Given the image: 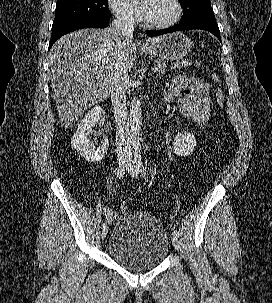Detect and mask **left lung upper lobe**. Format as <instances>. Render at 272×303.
Here are the masks:
<instances>
[{
  "mask_svg": "<svg viewBox=\"0 0 272 303\" xmlns=\"http://www.w3.org/2000/svg\"><path fill=\"white\" fill-rule=\"evenodd\" d=\"M183 16L180 23H190L215 19L210 0H180Z\"/></svg>",
  "mask_w": 272,
  "mask_h": 303,
  "instance_id": "left-lung-upper-lobe-1",
  "label": "left lung upper lobe"
}]
</instances>
